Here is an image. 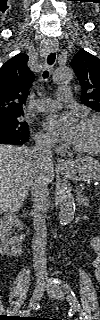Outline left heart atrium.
Listing matches in <instances>:
<instances>
[{"label": "left heart atrium", "instance_id": "39dd6f15", "mask_svg": "<svg viewBox=\"0 0 100 320\" xmlns=\"http://www.w3.org/2000/svg\"><path fill=\"white\" fill-rule=\"evenodd\" d=\"M78 126L77 119L68 114L50 115L44 121V127L56 140L67 143L74 142Z\"/></svg>", "mask_w": 100, "mask_h": 320}]
</instances>
